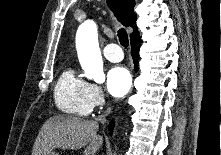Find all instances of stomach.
<instances>
[{"mask_svg": "<svg viewBox=\"0 0 221 155\" xmlns=\"http://www.w3.org/2000/svg\"><path fill=\"white\" fill-rule=\"evenodd\" d=\"M48 155H59V153H56V152H51V153H49Z\"/></svg>", "mask_w": 221, "mask_h": 155, "instance_id": "0dacf381", "label": "stomach"}]
</instances>
